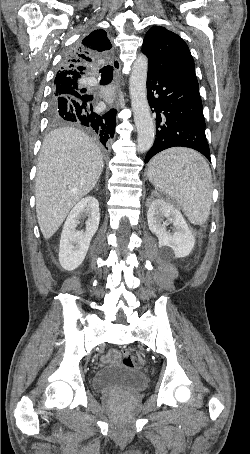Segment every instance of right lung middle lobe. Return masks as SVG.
<instances>
[{
    "label": "right lung middle lobe",
    "instance_id": "right-lung-middle-lobe-1",
    "mask_svg": "<svg viewBox=\"0 0 250 454\" xmlns=\"http://www.w3.org/2000/svg\"><path fill=\"white\" fill-rule=\"evenodd\" d=\"M82 91L78 89L77 83L71 84H64V85H55L53 89V93L51 96L50 106L51 104H55L58 101V98L61 96L67 97V99L71 102L72 99L82 100L87 95H81ZM49 118L51 123H62L64 122L58 115L55 114L53 108L49 109Z\"/></svg>",
    "mask_w": 250,
    "mask_h": 454
}]
</instances>
